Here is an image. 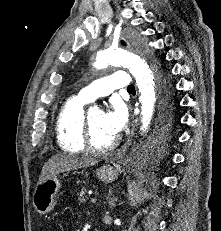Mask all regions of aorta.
<instances>
[{
	"label": "aorta",
	"mask_w": 221,
	"mask_h": 231,
	"mask_svg": "<svg viewBox=\"0 0 221 231\" xmlns=\"http://www.w3.org/2000/svg\"><path fill=\"white\" fill-rule=\"evenodd\" d=\"M108 65L126 67L136 80L141 104L142 133H146L154 114L156 101L155 83L148 64L133 51L123 48H108L96 54V68H106Z\"/></svg>",
	"instance_id": "aorta-1"
}]
</instances>
